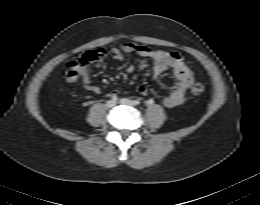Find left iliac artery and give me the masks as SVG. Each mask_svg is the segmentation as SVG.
Returning a JSON list of instances; mask_svg holds the SVG:
<instances>
[{
  "label": "left iliac artery",
  "mask_w": 260,
  "mask_h": 205,
  "mask_svg": "<svg viewBox=\"0 0 260 205\" xmlns=\"http://www.w3.org/2000/svg\"><path fill=\"white\" fill-rule=\"evenodd\" d=\"M134 105H139L140 104V101L139 100H134Z\"/></svg>",
  "instance_id": "1"
}]
</instances>
